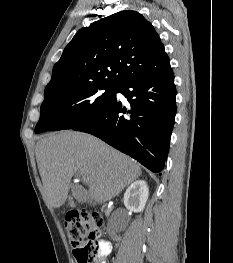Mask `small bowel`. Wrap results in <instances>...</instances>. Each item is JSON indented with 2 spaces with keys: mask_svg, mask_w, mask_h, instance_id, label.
<instances>
[{
  "mask_svg": "<svg viewBox=\"0 0 233 263\" xmlns=\"http://www.w3.org/2000/svg\"><path fill=\"white\" fill-rule=\"evenodd\" d=\"M111 251H112L111 243L109 241L102 240V251H101L102 261L101 263H107L105 258H107L110 255Z\"/></svg>",
  "mask_w": 233,
  "mask_h": 263,
  "instance_id": "obj_1",
  "label": "small bowel"
}]
</instances>
